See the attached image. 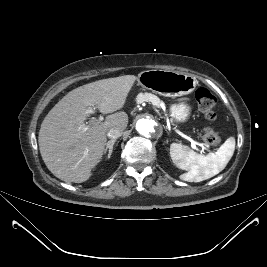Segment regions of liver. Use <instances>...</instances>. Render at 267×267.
<instances>
[{"mask_svg":"<svg viewBox=\"0 0 267 267\" xmlns=\"http://www.w3.org/2000/svg\"><path fill=\"white\" fill-rule=\"evenodd\" d=\"M136 79L124 75L85 84L70 91L49 111L41 124L38 143L42 159L54 176L74 183L91 177L102 159L106 133L114 126L127 127L128 115L117 111L124 107ZM88 108L113 114L103 122L91 120L83 130L90 115Z\"/></svg>","mask_w":267,"mask_h":267,"instance_id":"6515ba94","label":"liver"}]
</instances>
